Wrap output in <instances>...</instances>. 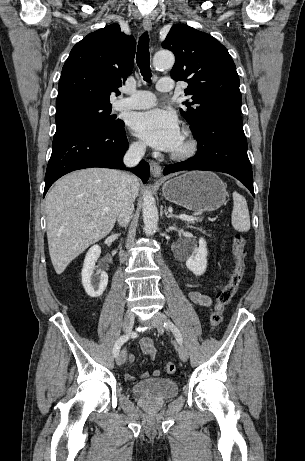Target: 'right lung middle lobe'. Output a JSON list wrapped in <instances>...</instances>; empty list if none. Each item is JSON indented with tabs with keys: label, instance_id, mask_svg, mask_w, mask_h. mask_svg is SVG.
<instances>
[{
	"label": "right lung middle lobe",
	"instance_id": "dd1d6c3e",
	"mask_svg": "<svg viewBox=\"0 0 305 461\" xmlns=\"http://www.w3.org/2000/svg\"><path fill=\"white\" fill-rule=\"evenodd\" d=\"M111 113L110 103H75L56 108V124L62 121H78L87 125L109 129L123 121L115 119Z\"/></svg>",
	"mask_w": 305,
	"mask_h": 461
}]
</instances>
